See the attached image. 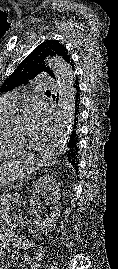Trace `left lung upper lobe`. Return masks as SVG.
I'll return each instance as SVG.
<instances>
[{"mask_svg": "<svg viewBox=\"0 0 118 269\" xmlns=\"http://www.w3.org/2000/svg\"><path fill=\"white\" fill-rule=\"evenodd\" d=\"M48 56H60L66 63L70 65L73 63L63 44L56 40H47L41 43L20 63L17 69L3 83L0 90L10 91L19 85L26 84L29 79H34L42 72H46L50 77H55L53 71L44 62V59ZM77 83L78 79L76 77L74 85Z\"/></svg>", "mask_w": 118, "mask_h": 269, "instance_id": "obj_1", "label": "left lung upper lobe"}]
</instances>
